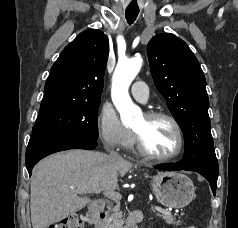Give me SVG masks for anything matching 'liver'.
I'll return each mask as SVG.
<instances>
[{"instance_id": "liver-1", "label": "liver", "mask_w": 238, "mask_h": 228, "mask_svg": "<svg viewBox=\"0 0 238 228\" xmlns=\"http://www.w3.org/2000/svg\"><path fill=\"white\" fill-rule=\"evenodd\" d=\"M133 164L119 157L88 150H70L40 161L30 183L33 228H47L83 209L94 189L113 192L118 178Z\"/></svg>"}]
</instances>
